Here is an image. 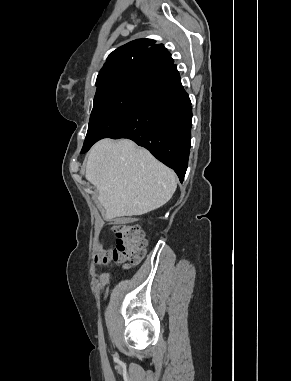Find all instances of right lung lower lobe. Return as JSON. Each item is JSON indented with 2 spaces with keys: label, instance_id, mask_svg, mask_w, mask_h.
Wrapping results in <instances>:
<instances>
[{
  "label": "right lung lower lobe",
  "instance_id": "obj_1",
  "mask_svg": "<svg viewBox=\"0 0 291 381\" xmlns=\"http://www.w3.org/2000/svg\"><path fill=\"white\" fill-rule=\"evenodd\" d=\"M191 123V102L172 63L142 78L120 132L111 138H128L145 147L182 182L188 166Z\"/></svg>",
  "mask_w": 291,
  "mask_h": 381
}]
</instances>
